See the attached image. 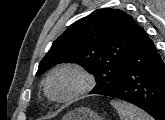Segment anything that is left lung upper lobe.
I'll return each instance as SVG.
<instances>
[{"mask_svg":"<svg viewBox=\"0 0 165 120\" xmlns=\"http://www.w3.org/2000/svg\"><path fill=\"white\" fill-rule=\"evenodd\" d=\"M144 34L122 10H95L53 42L36 75L59 63H77L95 77L97 84L90 93L106 95L120 85L126 59Z\"/></svg>","mask_w":165,"mask_h":120,"instance_id":"1","label":"left lung upper lobe"}]
</instances>
